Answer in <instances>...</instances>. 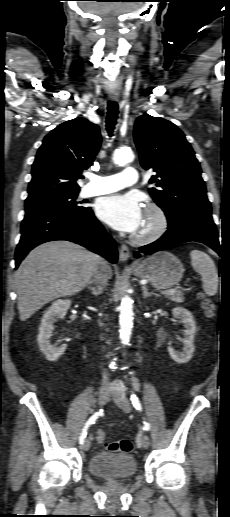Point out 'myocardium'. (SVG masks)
I'll return each instance as SVG.
<instances>
[{
	"mask_svg": "<svg viewBox=\"0 0 230 517\" xmlns=\"http://www.w3.org/2000/svg\"><path fill=\"white\" fill-rule=\"evenodd\" d=\"M145 212L152 216L154 223L148 231L133 235L132 240L137 244H148L158 240L165 234L169 226L168 216L159 204L148 203Z\"/></svg>",
	"mask_w": 230,
	"mask_h": 517,
	"instance_id": "1",
	"label": "myocardium"
}]
</instances>
